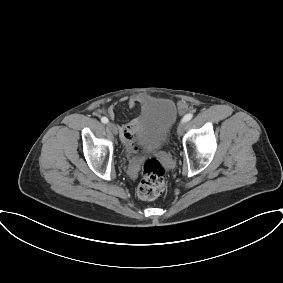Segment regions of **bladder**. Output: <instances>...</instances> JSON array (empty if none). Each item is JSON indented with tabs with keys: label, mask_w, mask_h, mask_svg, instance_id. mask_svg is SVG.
Masks as SVG:
<instances>
[{
	"label": "bladder",
	"mask_w": 283,
	"mask_h": 283,
	"mask_svg": "<svg viewBox=\"0 0 283 283\" xmlns=\"http://www.w3.org/2000/svg\"><path fill=\"white\" fill-rule=\"evenodd\" d=\"M176 120L177 110L172 100L155 101L143 115L141 123L142 145L164 146Z\"/></svg>",
	"instance_id": "31cf9c89"
}]
</instances>
